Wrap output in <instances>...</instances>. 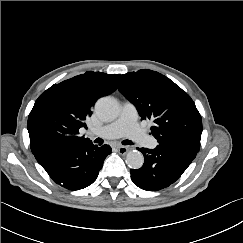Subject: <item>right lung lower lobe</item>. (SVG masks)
<instances>
[{"instance_id":"98d812e1","label":"right lung lower lobe","mask_w":243,"mask_h":243,"mask_svg":"<svg viewBox=\"0 0 243 243\" xmlns=\"http://www.w3.org/2000/svg\"><path fill=\"white\" fill-rule=\"evenodd\" d=\"M52 180L69 190L92 184L111 153L109 145L45 143L32 151Z\"/></svg>"}]
</instances>
